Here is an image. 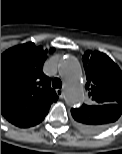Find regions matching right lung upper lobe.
Wrapping results in <instances>:
<instances>
[{
  "mask_svg": "<svg viewBox=\"0 0 122 154\" xmlns=\"http://www.w3.org/2000/svg\"><path fill=\"white\" fill-rule=\"evenodd\" d=\"M47 52L25 43L1 55V113L18 127L40 123L58 99L50 78L42 72Z\"/></svg>",
  "mask_w": 122,
  "mask_h": 154,
  "instance_id": "right-lung-upper-lobe-1",
  "label": "right lung upper lobe"
}]
</instances>
